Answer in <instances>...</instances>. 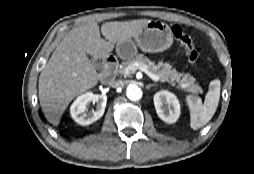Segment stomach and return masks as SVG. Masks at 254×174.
<instances>
[{
  "mask_svg": "<svg viewBox=\"0 0 254 174\" xmlns=\"http://www.w3.org/2000/svg\"><path fill=\"white\" fill-rule=\"evenodd\" d=\"M118 43L116 51L121 59L134 57L139 47L143 52L156 53L168 49L173 43L170 27L161 21H151L138 35Z\"/></svg>",
  "mask_w": 254,
  "mask_h": 174,
  "instance_id": "obj_1",
  "label": "stomach"
}]
</instances>
